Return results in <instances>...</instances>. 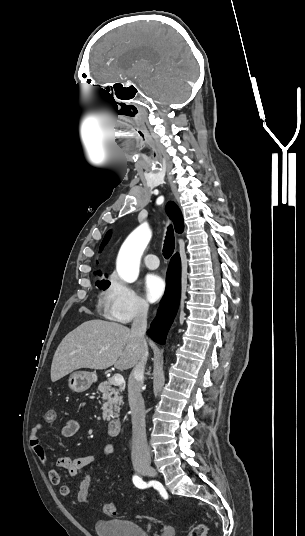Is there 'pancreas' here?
<instances>
[{"mask_svg":"<svg viewBox=\"0 0 305 536\" xmlns=\"http://www.w3.org/2000/svg\"><path fill=\"white\" fill-rule=\"evenodd\" d=\"M112 386H115V384H112L111 378L107 382H101L98 386V390L102 392L104 400L102 406L104 420H109L110 416H114V418H118L119 420L120 406L123 404V396L121 394L124 392V388L122 384L118 388H112Z\"/></svg>","mask_w":305,"mask_h":536,"instance_id":"obj_1","label":"pancreas"}]
</instances>
